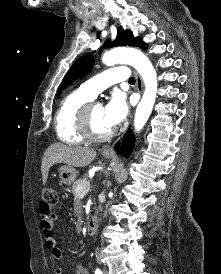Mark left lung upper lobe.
Segmentation results:
<instances>
[{"label":"left lung upper lobe","instance_id":"1","mask_svg":"<svg viewBox=\"0 0 221 274\" xmlns=\"http://www.w3.org/2000/svg\"><path fill=\"white\" fill-rule=\"evenodd\" d=\"M110 46H137L141 49L146 50L147 44L140 37H134L130 30H123L121 27L117 31V37L114 42L107 41L104 47ZM94 57L91 54L85 55L79 58L70 70L67 72L62 83L59 86L57 95L61 93L69 84H71L76 79L86 75L93 67Z\"/></svg>","mask_w":221,"mask_h":274}]
</instances>
